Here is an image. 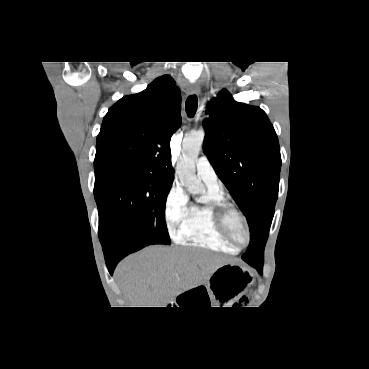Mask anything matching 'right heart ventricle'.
Returning <instances> with one entry per match:
<instances>
[{
    "label": "right heart ventricle",
    "mask_w": 369,
    "mask_h": 369,
    "mask_svg": "<svg viewBox=\"0 0 369 369\" xmlns=\"http://www.w3.org/2000/svg\"><path fill=\"white\" fill-rule=\"evenodd\" d=\"M207 188L205 196L189 206L188 213L179 227L177 240L215 251L236 253L238 249L219 232L211 206L212 202L225 200L224 196L221 190Z\"/></svg>",
    "instance_id": "obj_1"
}]
</instances>
